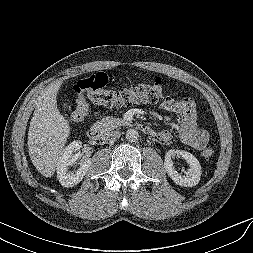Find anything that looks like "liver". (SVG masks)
<instances>
[{
    "label": "liver",
    "instance_id": "liver-1",
    "mask_svg": "<svg viewBox=\"0 0 253 253\" xmlns=\"http://www.w3.org/2000/svg\"><path fill=\"white\" fill-rule=\"evenodd\" d=\"M62 81L51 84L40 96L28 131V152L35 168L45 177L54 175L70 135L68 120L57 108Z\"/></svg>",
    "mask_w": 253,
    "mask_h": 253
}]
</instances>
